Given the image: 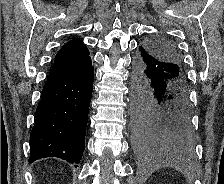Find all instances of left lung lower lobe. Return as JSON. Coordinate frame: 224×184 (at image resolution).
I'll list each match as a JSON object with an SVG mask.
<instances>
[{"label": "left lung lower lobe", "mask_w": 224, "mask_h": 184, "mask_svg": "<svg viewBox=\"0 0 224 184\" xmlns=\"http://www.w3.org/2000/svg\"><path fill=\"white\" fill-rule=\"evenodd\" d=\"M133 138L147 154L185 153L194 138L188 87L178 65L161 61L139 48L132 73Z\"/></svg>", "instance_id": "left-lung-lower-lobe-1"}]
</instances>
